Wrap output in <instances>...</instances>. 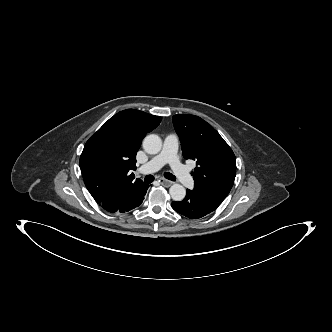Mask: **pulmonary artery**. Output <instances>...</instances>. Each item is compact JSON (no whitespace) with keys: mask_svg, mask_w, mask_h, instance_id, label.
Masks as SVG:
<instances>
[{"mask_svg":"<svg viewBox=\"0 0 332 332\" xmlns=\"http://www.w3.org/2000/svg\"><path fill=\"white\" fill-rule=\"evenodd\" d=\"M179 140L177 135L169 134L164 139L162 151L150 159L146 164L139 168L140 173H153L161 169L165 164H170L172 171L177 176L179 181L190 187L193 185V179L185 168V166L179 161L177 157Z\"/></svg>","mask_w":332,"mask_h":332,"instance_id":"1","label":"pulmonary artery"}]
</instances>
